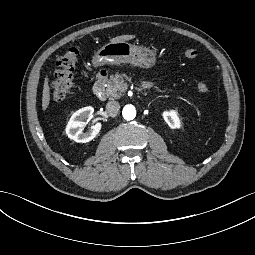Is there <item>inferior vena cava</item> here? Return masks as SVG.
Returning <instances> with one entry per match:
<instances>
[{
	"mask_svg": "<svg viewBox=\"0 0 255 255\" xmlns=\"http://www.w3.org/2000/svg\"><path fill=\"white\" fill-rule=\"evenodd\" d=\"M106 109L111 117H115L119 112L120 104L117 101H109Z\"/></svg>",
	"mask_w": 255,
	"mask_h": 255,
	"instance_id": "obj_1",
	"label": "inferior vena cava"
}]
</instances>
